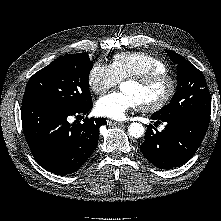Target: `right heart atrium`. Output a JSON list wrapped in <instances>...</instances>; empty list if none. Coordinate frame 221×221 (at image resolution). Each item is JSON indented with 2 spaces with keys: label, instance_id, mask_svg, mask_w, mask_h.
Instances as JSON below:
<instances>
[{
  "label": "right heart atrium",
  "instance_id": "obj_1",
  "mask_svg": "<svg viewBox=\"0 0 221 221\" xmlns=\"http://www.w3.org/2000/svg\"><path fill=\"white\" fill-rule=\"evenodd\" d=\"M111 65L104 62H96L88 73V85L96 94H103L119 83Z\"/></svg>",
  "mask_w": 221,
  "mask_h": 221
}]
</instances>
